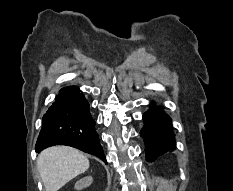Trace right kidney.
Returning <instances> with one entry per match:
<instances>
[{
    "instance_id": "obj_1",
    "label": "right kidney",
    "mask_w": 233,
    "mask_h": 191,
    "mask_svg": "<svg viewBox=\"0 0 233 191\" xmlns=\"http://www.w3.org/2000/svg\"><path fill=\"white\" fill-rule=\"evenodd\" d=\"M92 182H93L92 176H86V177H84V178H82V179H80L79 181L76 182L75 189L81 190L83 188H86L89 185H91Z\"/></svg>"
}]
</instances>
